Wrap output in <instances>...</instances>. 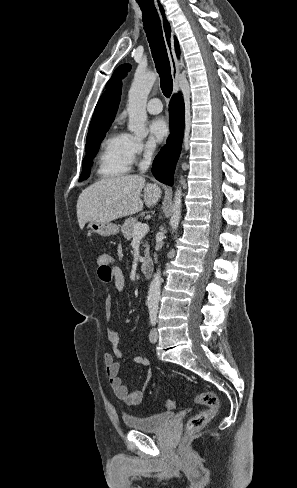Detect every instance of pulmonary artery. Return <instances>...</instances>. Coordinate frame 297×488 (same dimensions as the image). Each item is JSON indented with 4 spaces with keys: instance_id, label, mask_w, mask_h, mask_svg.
I'll return each instance as SVG.
<instances>
[{
    "instance_id": "1",
    "label": "pulmonary artery",
    "mask_w": 297,
    "mask_h": 488,
    "mask_svg": "<svg viewBox=\"0 0 297 488\" xmlns=\"http://www.w3.org/2000/svg\"><path fill=\"white\" fill-rule=\"evenodd\" d=\"M146 109L151 114H159L162 111V103L158 98H152L148 101Z\"/></svg>"
}]
</instances>
